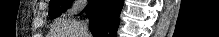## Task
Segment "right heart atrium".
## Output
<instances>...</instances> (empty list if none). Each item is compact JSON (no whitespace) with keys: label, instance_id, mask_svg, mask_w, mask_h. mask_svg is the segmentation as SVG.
I'll return each instance as SVG.
<instances>
[{"label":"right heart atrium","instance_id":"d8ad5b80","mask_svg":"<svg viewBox=\"0 0 219 37\" xmlns=\"http://www.w3.org/2000/svg\"><path fill=\"white\" fill-rule=\"evenodd\" d=\"M83 6V2L81 1H74V2H71L67 8V11L69 14H74V13H77L78 11L81 10Z\"/></svg>","mask_w":219,"mask_h":37}]
</instances>
